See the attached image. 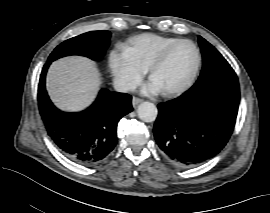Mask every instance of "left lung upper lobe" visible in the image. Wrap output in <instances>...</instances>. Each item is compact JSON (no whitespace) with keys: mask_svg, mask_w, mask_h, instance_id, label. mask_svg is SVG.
<instances>
[{"mask_svg":"<svg viewBox=\"0 0 270 213\" xmlns=\"http://www.w3.org/2000/svg\"><path fill=\"white\" fill-rule=\"evenodd\" d=\"M198 43L203 56V67L200 77L188 92H193L216 79L234 72L225 58L209 42L198 36Z\"/></svg>","mask_w":270,"mask_h":213,"instance_id":"5c2ea615","label":"left lung upper lobe"}]
</instances>
